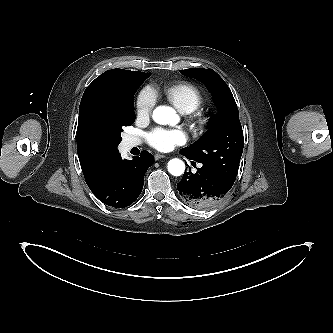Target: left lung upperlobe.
I'll list each match as a JSON object with an SVG mask.
<instances>
[{"instance_id":"obj_1","label":"left lung upper lobe","mask_w":333,"mask_h":333,"mask_svg":"<svg viewBox=\"0 0 333 333\" xmlns=\"http://www.w3.org/2000/svg\"><path fill=\"white\" fill-rule=\"evenodd\" d=\"M180 72L204 83L220 111L219 116L212 115L210 128L203 136L181 152L234 183L244 147L235 99L224 80L212 69L192 68Z\"/></svg>"}]
</instances>
